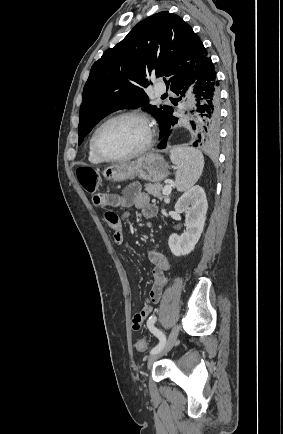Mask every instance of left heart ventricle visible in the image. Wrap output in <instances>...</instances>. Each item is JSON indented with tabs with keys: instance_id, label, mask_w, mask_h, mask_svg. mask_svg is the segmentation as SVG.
<instances>
[{
	"instance_id": "obj_1",
	"label": "left heart ventricle",
	"mask_w": 283,
	"mask_h": 434,
	"mask_svg": "<svg viewBox=\"0 0 283 434\" xmlns=\"http://www.w3.org/2000/svg\"><path fill=\"white\" fill-rule=\"evenodd\" d=\"M146 139L145 125L137 119L127 118L105 126L98 134L97 144L106 155L121 156L140 149Z\"/></svg>"
}]
</instances>
